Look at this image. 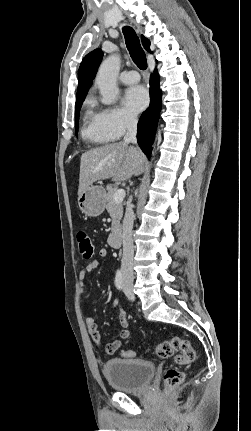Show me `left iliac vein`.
<instances>
[{
	"label": "left iliac vein",
	"instance_id": "4c4485c4",
	"mask_svg": "<svg viewBox=\"0 0 251 431\" xmlns=\"http://www.w3.org/2000/svg\"><path fill=\"white\" fill-rule=\"evenodd\" d=\"M124 293H125V295L127 296V298L129 300H131V301L135 300V296H134V294L132 292V289L130 287H128V286L125 285L124 286Z\"/></svg>",
	"mask_w": 251,
	"mask_h": 431
}]
</instances>
